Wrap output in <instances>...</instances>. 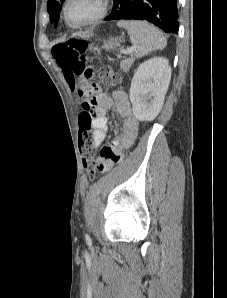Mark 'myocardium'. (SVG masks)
<instances>
[{"label": "myocardium", "instance_id": "f54148a6", "mask_svg": "<svg viewBox=\"0 0 227 298\" xmlns=\"http://www.w3.org/2000/svg\"><path fill=\"white\" fill-rule=\"evenodd\" d=\"M72 0H66L64 5V17L66 21L73 27H83L87 25L94 24L104 18L106 14L108 13L109 7H110V0H99V11L98 13L93 16L92 18L82 22V23H74L71 21L68 13L69 5Z\"/></svg>", "mask_w": 227, "mask_h": 298}]
</instances>
